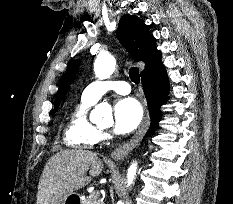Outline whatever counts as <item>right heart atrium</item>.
Listing matches in <instances>:
<instances>
[{
    "mask_svg": "<svg viewBox=\"0 0 233 204\" xmlns=\"http://www.w3.org/2000/svg\"><path fill=\"white\" fill-rule=\"evenodd\" d=\"M102 139H107L109 135L107 133H101Z\"/></svg>",
    "mask_w": 233,
    "mask_h": 204,
    "instance_id": "1",
    "label": "right heart atrium"
}]
</instances>
